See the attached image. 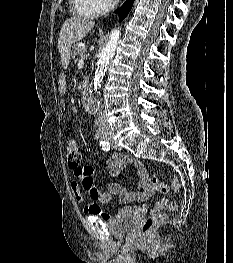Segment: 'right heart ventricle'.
I'll use <instances>...</instances> for the list:
<instances>
[{
    "mask_svg": "<svg viewBox=\"0 0 233 263\" xmlns=\"http://www.w3.org/2000/svg\"><path fill=\"white\" fill-rule=\"evenodd\" d=\"M73 2L75 10L80 16L93 17L96 15L88 0H73Z\"/></svg>",
    "mask_w": 233,
    "mask_h": 263,
    "instance_id": "obj_1",
    "label": "right heart ventricle"
}]
</instances>
